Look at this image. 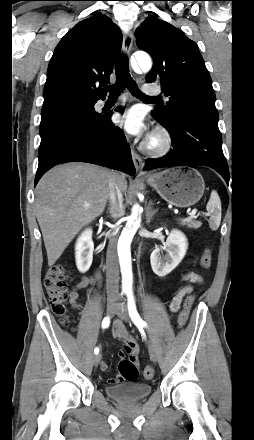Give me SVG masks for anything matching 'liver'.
<instances>
[{
  "label": "liver",
  "instance_id": "6515ba94",
  "mask_svg": "<svg viewBox=\"0 0 254 440\" xmlns=\"http://www.w3.org/2000/svg\"><path fill=\"white\" fill-rule=\"evenodd\" d=\"M113 176L121 191L126 192L123 173L87 163L56 166L40 179L35 190V211L48 266L55 264L84 226L103 213Z\"/></svg>",
  "mask_w": 254,
  "mask_h": 440
}]
</instances>
